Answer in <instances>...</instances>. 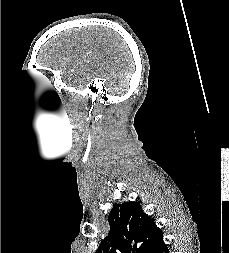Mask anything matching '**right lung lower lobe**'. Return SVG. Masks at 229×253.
<instances>
[{
    "label": "right lung lower lobe",
    "instance_id": "right-lung-lower-lobe-1",
    "mask_svg": "<svg viewBox=\"0 0 229 253\" xmlns=\"http://www.w3.org/2000/svg\"><path fill=\"white\" fill-rule=\"evenodd\" d=\"M151 253H169L167 245L164 243L163 239L159 244L151 251Z\"/></svg>",
    "mask_w": 229,
    "mask_h": 253
}]
</instances>
